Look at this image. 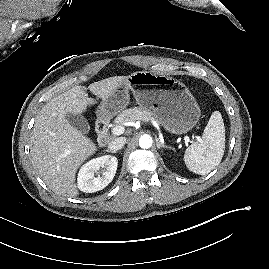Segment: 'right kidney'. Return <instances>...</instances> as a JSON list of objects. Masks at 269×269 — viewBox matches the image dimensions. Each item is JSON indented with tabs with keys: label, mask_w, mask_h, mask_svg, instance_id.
<instances>
[{
	"label": "right kidney",
	"mask_w": 269,
	"mask_h": 269,
	"mask_svg": "<svg viewBox=\"0 0 269 269\" xmlns=\"http://www.w3.org/2000/svg\"><path fill=\"white\" fill-rule=\"evenodd\" d=\"M118 160L115 156L104 155L85 163L78 173V188L86 193L104 189L114 178ZM100 168L102 175L95 176Z\"/></svg>",
	"instance_id": "obj_1"
}]
</instances>
